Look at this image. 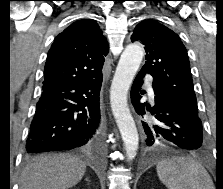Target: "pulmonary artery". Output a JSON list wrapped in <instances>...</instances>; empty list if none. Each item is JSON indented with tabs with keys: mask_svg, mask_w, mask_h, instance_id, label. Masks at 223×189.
Returning <instances> with one entry per match:
<instances>
[{
	"mask_svg": "<svg viewBox=\"0 0 223 189\" xmlns=\"http://www.w3.org/2000/svg\"><path fill=\"white\" fill-rule=\"evenodd\" d=\"M148 90H149V95L151 98H154V92H153V89H152V86L151 84L148 85Z\"/></svg>",
	"mask_w": 223,
	"mask_h": 189,
	"instance_id": "e3ab8cb5",
	"label": "pulmonary artery"
}]
</instances>
